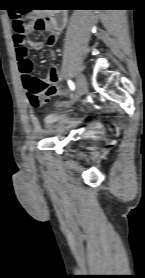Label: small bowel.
Instances as JSON below:
<instances>
[{"mask_svg": "<svg viewBox=\"0 0 145 278\" xmlns=\"http://www.w3.org/2000/svg\"><path fill=\"white\" fill-rule=\"evenodd\" d=\"M34 30L33 26H29L26 28V36L27 33ZM45 31L48 32L47 36L42 40H34L29 38L28 36V43L26 44V48H31L34 50H40L44 46H53L58 42V34L53 31V29L49 28L47 26ZM14 42L16 47H22L23 45L20 42H17L14 37ZM18 49V48H17ZM18 58V72L20 76L21 83L23 85L25 94L27 98L29 99V95L31 93V87L30 84L32 82H35L37 93L40 98V106L44 105L52 96H55L60 93L59 87L56 85L57 80V72H56V65L54 63L50 64L47 76L44 80H41L39 78L33 77L32 71H33V63L30 59H28L26 56L23 58ZM30 101V99H29ZM31 103V102H30ZM32 104V103H31ZM31 132L34 136H40L43 132V129L39 122L34 119L32 121V129Z\"/></svg>", "mask_w": 145, "mask_h": 278, "instance_id": "small-bowel-1", "label": "small bowel"}]
</instances>
